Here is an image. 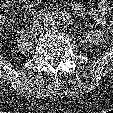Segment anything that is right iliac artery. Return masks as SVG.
<instances>
[{
  "instance_id": "obj_1",
  "label": "right iliac artery",
  "mask_w": 113,
  "mask_h": 113,
  "mask_svg": "<svg viewBox=\"0 0 113 113\" xmlns=\"http://www.w3.org/2000/svg\"><path fill=\"white\" fill-rule=\"evenodd\" d=\"M66 15L67 14L64 11H54V10L45 11V10H42L33 19L30 28H32V30L33 29H36L37 27L40 26V24L42 22H45V20H47L50 17H53L54 16V17L63 19Z\"/></svg>"
}]
</instances>
